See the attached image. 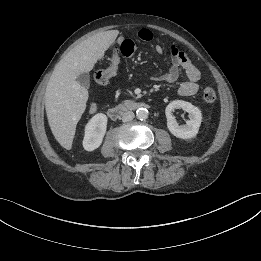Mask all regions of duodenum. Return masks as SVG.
<instances>
[{
  "instance_id": "obj_1",
  "label": "duodenum",
  "mask_w": 261,
  "mask_h": 261,
  "mask_svg": "<svg viewBox=\"0 0 261 261\" xmlns=\"http://www.w3.org/2000/svg\"><path fill=\"white\" fill-rule=\"evenodd\" d=\"M147 107V104L142 102H134V101H128L124 104L114 106L108 110V115L111 119L117 120L119 119L124 113L140 108Z\"/></svg>"
}]
</instances>
